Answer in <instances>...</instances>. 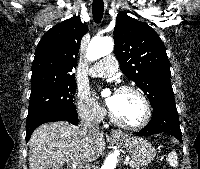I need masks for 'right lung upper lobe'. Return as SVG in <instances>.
<instances>
[{"instance_id": "1", "label": "right lung upper lobe", "mask_w": 200, "mask_h": 169, "mask_svg": "<svg viewBox=\"0 0 200 169\" xmlns=\"http://www.w3.org/2000/svg\"><path fill=\"white\" fill-rule=\"evenodd\" d=\"M88 28L73 16L48 30L35 50L31 88L44 83L73 80L80 42Z\"/></svg>"}]
</instances>
